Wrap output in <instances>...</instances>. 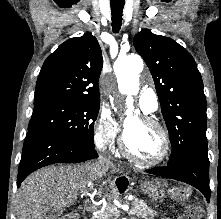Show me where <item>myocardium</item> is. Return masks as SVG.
I'll return each instance as SVG.
<instances>
[{
    "instance_id": "1",
    "label": "myocardium",
    "mask_w": 221,
    "mask_h": 219,
    "mask_svg": "<svg viewBox=\"0 0 221 219\" xmlns=\"http://www.w3.org/2000/svg\"><path fill=\"white\" fill-rule=\"evenodd\" d=\"M138 119L142 123L156 128L158 132L160 133L161 139H162V150L160 154L154 159H143L141 157H138L128 150L124 137L120 141V147H119L120 152L124 157L140 165L148 166V167L159 166L169 158L170 153H171V141H170L169 133L160 122H158L152 117L140 116Z\"/></svg>"
}]
</instances>
